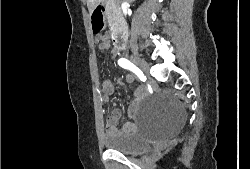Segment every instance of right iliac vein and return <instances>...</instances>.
<instances>
[{"label":"right iliac vein","instance_id":"63e3f726","mask_svg":"<svg viewBox=\"0 0 250 169\" xmlns=\"http://www.w3.org/2000/svg\"><path fill=\"white\" fill-rule=\"evenodd\" d=\"M131 60L138 65L143 71H147L148 70V64L141 59L140 57H138L137 55H134L131 57Z\"/></svg>","mask_w":250,"mask_h":169}]
</instances>
